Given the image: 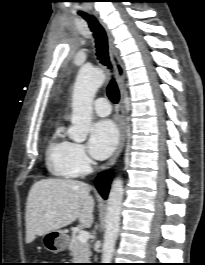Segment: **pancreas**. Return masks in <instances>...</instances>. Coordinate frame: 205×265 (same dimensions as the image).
<instances>
[{
    "label": "pancreas",
    "mask_w": 205,
    "mask_h": 265,
    "mask_svg": "<svg viewBox=\"0 0 205 265\" xmlns=\"http://www.w3.org/2000/svg\"><path fill=\"white\" fill-rule=\"evenodd\" d=\"M69 250L73 257L74 263H88L91 256L90 246L88 243H81L75 238L69 244Z\"/></svg>",
    "instance_id": "obj_1"
}]
</instances>
